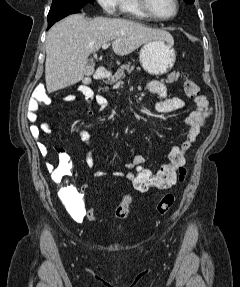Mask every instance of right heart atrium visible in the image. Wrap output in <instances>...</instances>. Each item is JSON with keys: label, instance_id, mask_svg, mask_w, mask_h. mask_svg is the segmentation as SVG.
<instances>
[{"label": "right heart atrium", "instance_id": "right-heart-atrium-1", "mask_svg": "<svg viewBox=\"0 0 240 287\" xmlns=\"http://www.w3.org/2000/svg\"><path fill=\"white\" fill-rule=\"evenodd\" d=\"M102 9L109 15H115L118 10L119 0H97Z\"/></svg>", "mask_w": 240, "mask_h": 287}]
</instances>
